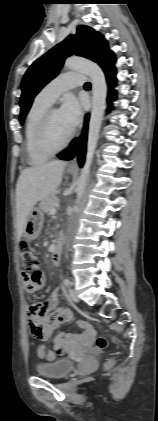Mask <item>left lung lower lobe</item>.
Segmentation results:
<instances>
[{"label":"left lung lower lobe","instance_id":"left-lung-lower-lobe-1","mask_svg":"<svg viewBox=\"0 0 158 421\" xmlns=\"http://www.w3.org/2000/svg\"><path fill=\"white\" fill-rule=\"evenodd\" d=\"M116 61L115 55L113 53L109 54L99 65L102 67L106 74L108 84L114 86L116 83V68L114 66ZM116 92L110 89L108 99L109 101L114 100ZM111 107V105H110ZM89 115H86L85 126L83 133L80 138H75L69 148L65 151H62L57 156L62 160H71L75 154L78 153V161L80 166L84 163L85 152H86V136H87V123Z\"/></svg>","mask_w":158,"mask_h":421}]
</instances>
